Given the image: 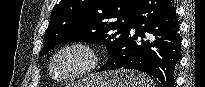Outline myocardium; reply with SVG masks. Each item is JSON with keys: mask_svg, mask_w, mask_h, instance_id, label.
I'll use <instances>...</instances> for the list:
<instances>
[{"mask_svg": "<svg viewBox=\"0 0 205 87\" xmlns=\"http://www.w3.org/2000/svg\"><path fill=\"white\" fill-rule=\"evenodd\" d=\"M70 50H77L84 54L85 62L76 70L66 74L64 76H56L54 73V63L56 59L64 52ZM100 63V56L97 49L88 42L84 41H72L60 46L52 54L49 61V73L51 77L56 81H70L92 73Z\"/></svg>", "mask_w": 205, "mask_h": 87, "instance_id": "obj_1", "label": "myocardium"}]
</instances>
